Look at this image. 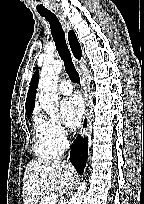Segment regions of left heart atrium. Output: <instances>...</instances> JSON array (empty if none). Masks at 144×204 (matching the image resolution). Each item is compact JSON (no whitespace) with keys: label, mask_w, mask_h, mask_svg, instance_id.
<instances>
[{"label":"left heart atrium","mask_w":144,"mask_h":204,"mask_svg":"<svg viewBox=\"0 0 144 204\" xmlns=\"http://www.w3.org/2000/svg\"><path fill=\"white\" fill-rule=\"evenodd\" d=\"M61 114L68 128L71 130L77 129L84 114V106L81 98L72 96L63 100L61 103Z\"/></svg>","instance_id":"obj_1"}]
</instances>
